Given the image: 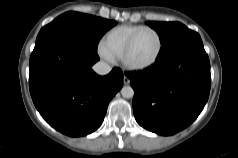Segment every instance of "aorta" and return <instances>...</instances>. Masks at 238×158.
Instances as JSON below:
<instances>
[{
    "mask_svg": "<svg viewBox=\"0 0 238 158\" xmlns=\"http://www.w3.org/2000/svg\"><path fill=\"white\" fill-rule=\"evenodd\" d=\"M121 94L124 98H132L134 95V90L131 86H124L121 89Z\"/></svg>",
    "mask_w": 238,
    "mask_h": 158,
    "instance_id": "1",
    "label": "aorta"
}]
</instances>
